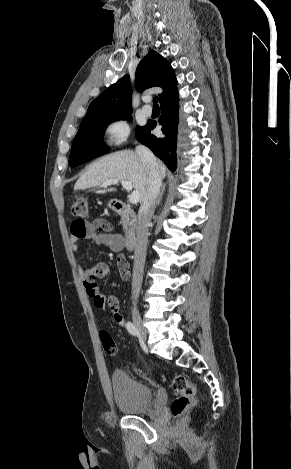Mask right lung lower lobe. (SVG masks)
<instances>
[{
  "label": "right lung lower lobe",
  "instance_id": "1",
  "mask_svg": "<svg viewBox=\"0 0 291 469\" xmlns=\"http://www.w3.org/2000/svg\"><path fill=\"white\" fill-rule=\"evenodd\" d=\"M161 116L158 123L162 125L164 136L157 138L151 134L156 127V121H149L146 126L136 131L137 140L147 146L159 157L167 167L174 172L176 169V140L177 124L179 120L178 91L161 103Z\"/></svg>",
  "mask_w": 291,
  "mask_h": 469
}]
</instances>
